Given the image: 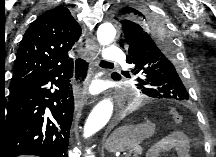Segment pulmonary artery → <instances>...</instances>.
Returning <instances> with one entry per match:
<instances>
[{
	"label": "pulmonary artery",
	"instance_id": "obj_1",
	"mask_svg": "<svg viewBox=\"0 0 216 157\" xmlns=\"http://www.w3.org/2000/svg\"><path fill=\"white\" fill-rule=\"evenodd\" d=\"M124 53L115 46H110L103 54V58L106 61H118L124 58Z\"/></svg>",
	"mask_w": 216,
	"mask_h": 157
}]
</instances>
